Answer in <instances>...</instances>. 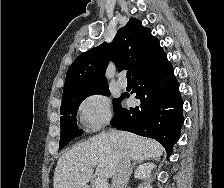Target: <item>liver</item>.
I'll list each match as a JSON object with an SVG mask.
<instances>
[{
  "label": "liver",
  "mask_w": 224,
  "mask_h": 188,
  "mask_svg": "<svg viewBox=\"0 0 224 188\" xmlns=\"http://www.w3.org/2000/svg\"><path fill=\"white\" fill-rule=\"evenodd\" d=\"M163 151V147L157 141L129 132L100 133L75 145L58 159L53 186L87 188L95 166V174L108 179L114 176L123 153L132 160H145L158 158Z\"/></svg>",
  "instance_id": "6515ba94"
}]
</instances>
